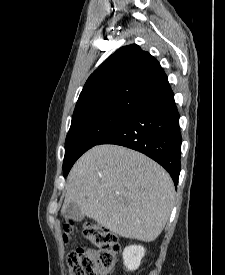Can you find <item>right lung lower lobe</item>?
I'll list each match as a JSON object with an SVG mask.
<instances>
[{
	"label": "right lung lower lobe",
	"instance_id": "right-lung-lower-lobe-1",
	"mask_svg": "<svg viewBox=\"0 0 225 275\" xmlns=\"http://www.w3.org/2000/svg\"><path fill=\"white\" fill-rule=\"evenodd\" d=\"M99 144L139 151L163 166L175 186L180 174L181 133L173 92L131 111Z\"/></svg>",
	"mask_w": 225,
	"mask_h": 275
}]
</instances>
